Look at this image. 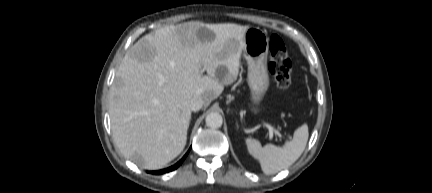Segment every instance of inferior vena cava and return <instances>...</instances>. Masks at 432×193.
Masks as SVG:
<instances>
[{"instance_id": "602c4592", "label": "inferior vena cava", "mask_w": 432, "mask_h": 193, "mask_svg": "<svg viewBox=\"0 0 432 193\" xmlns=\"http://www.w3.org/2000/svg\"><path fill=\"white\" fill-rule=\"evenodd\" d=\"M204 106V101L200 96H194L190 102V109L194 112L199 111Z\"/></svg>"}]
</instances>
